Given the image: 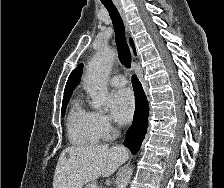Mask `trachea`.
Here are the masks:
<instances>
[{"instance_id": "3493384b", "label": "trachea", "mask_w": 224, "mask_h": 188, "mask_svg": "<svg viewBox=\"0 0 224 188\" xmlns=\"http://www.w3.org/2000/svg\"><path fill=\"white\" fill-rule=\"evenodd\" d=\"M107 11L109 12L110 18L112 20L114 30H115V39L118 47V55L120 62L126 67H131V55L128 45L125 38V27L123 20L113 3H104L102 2Z\"/></svg>"}]
</instances>
